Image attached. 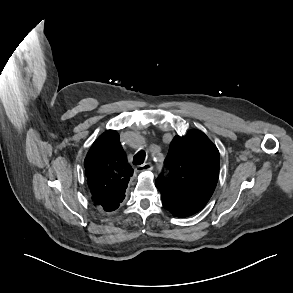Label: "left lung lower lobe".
Listing matches in <instances>:
<instances>
[{
  "label": "left lung lower lobe",
  "instance_id": "obj_1",
  "mask_svg": "<svg viewBox=\"0 0 293 293\" xmlns=\"http://www.w3.org/2000/svg\"><path fill=\"white\" fill-rule=\"evenodd\" d=\"M163 205L175 216L177 217H187L193 215L190 210H187L179 205L172 203L169 200L162 198Z\"/></svg>",
  "mask_w": 293,
  "mask_h": 293
}]
</instances>
